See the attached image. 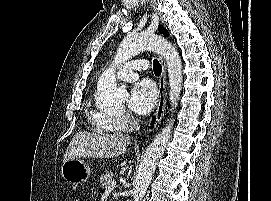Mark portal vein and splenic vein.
I'll list each match as a JSON object with an SVG mask.
<instances>
[{"label":"portal vein and splenic vein","instance_id":"1","mask_svg":"<svg viewBox=\"0 0 271 201\" xmlns=\"http://www.w3.org/2000/svg\"><path fill=\"white\" fill-rule=\"evenodd\" d=\"M115 186H116V181L114 180L111 182V186L107 187V190H112Z\"/></svg>","mask_w":271,"mask_h":201}]
</instances>
